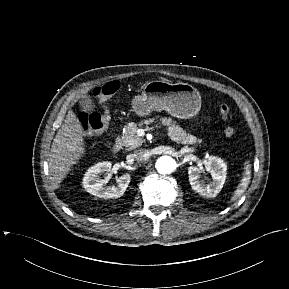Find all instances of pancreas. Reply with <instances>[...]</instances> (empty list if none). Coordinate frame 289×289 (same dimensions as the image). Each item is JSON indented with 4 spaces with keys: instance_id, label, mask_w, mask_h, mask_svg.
Masks as SVG:
<instances>
[{
    "instance_id": "pancreas-1",
    "label": "pancreas",
    "mask_w": 289,
    "mask_h": 289,
    "mask_svg": "<svg viewBox=\"0 0 289 289\" xmlns=\"http://www.w3.org/2000/svg\"><path fill=\"white\" fill-rule=\"evenodd\" d=\"M161 123L164 126H167L168 136L172 141L181 144L193 145L196 143H200L201 140L197 139V137L187 134L179 125H176L171 118L163 117L160 119ZM154 119L144 120L140 123H128L125 125V130L122 135V143L128 149L132 150L142 145L144 142L141 137H139L136 132L139 127H142L144 124L148 125L152 123Z\"/></svg>"
}]
</instances>
